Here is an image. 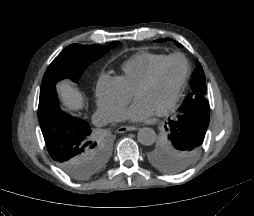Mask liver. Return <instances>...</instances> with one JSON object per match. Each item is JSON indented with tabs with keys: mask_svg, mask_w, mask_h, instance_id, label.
Listing matches in <instances>:
<instances>
[{
	"mask_svg": "<svg viewBox=\"0 0 254 216\" xmlns=\"http://www.w3.org/2000/svg\"><path fill=\"white\" fill-rule=\"evenodd\" d=\"M63 104L72 111L78 110L83 106V96L68 81L61 82L57 85Z\"/></svg>",
	"mask_w": 254,
	"mask_h": 216,
	"instance_id": "obj_1",
	"label": "liver"
}]
</instances>
